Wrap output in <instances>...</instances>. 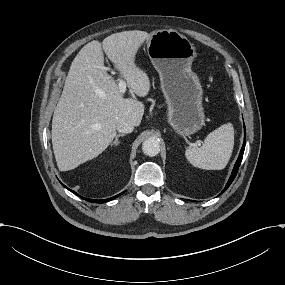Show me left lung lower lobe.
<instances>
[{
  "label": "left lung lower lobe",
  "mask_w": 285,
  "mask_h": 285,
  "mask_svg": "<svg viewBox=\"0 0 285 285\" xmlns=\"http://www.w3.org/2000/svg\"><path fill=\"white\" fill-rule=\"evenodd\" d=\"M244 130H245V127H244ZM245 142H246V134H245V137H244V143H243V146L241 148V151H240V154H239V157L235 163V166L233 168V171H232V174L227 182V185L225 186L224 190L221 192L223 193L224 191L227 190V188L230 186V184L233 182L237 172H238V169H239V166H240V163L242 161V158H243V153H244V149H245Z\"/></svg>",
  "instance_id": "1"
}]
</instances>
